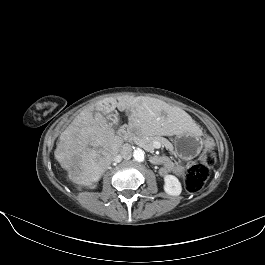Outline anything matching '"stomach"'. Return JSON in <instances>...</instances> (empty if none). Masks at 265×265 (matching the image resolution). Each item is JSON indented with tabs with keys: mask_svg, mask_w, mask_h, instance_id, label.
<instances>
[{
	"mask_svg": "<svg viewBox=\"0 0 265 265\" xmlns=\"http://www.w3.org/2000/svg\"><path fill=\"white\" fill-rule=\"evenodd\" d=\"M175 153L182 159H193L201 151L203 143L199 135L192 132L177 134L174 139Z\"/></svg>",
	"mask_w": 265,
	"mask_h": 265,
	"instance_id": "1",
	"label": "stomach"
}]
</instances>
